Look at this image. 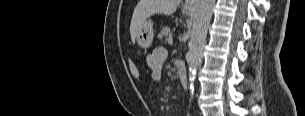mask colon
I'll use <instances>...</instances> for the list:
<instances>
[{"label": "colon", "mask_w": 305, "mask_h": 116, "mask_svg": "<svg viewBox=\"0 0 305 116\" xmlns=\"http://www.w3.org/2000/svg\"><path fill=\"white\" fill-rule=\"evenodd\" d=\"M129 71L133 77L139 78V76H140L139 69H138L137 65L132 61L129 62Z\"/></svg>", "instance_id": "1"}]
</instances>
